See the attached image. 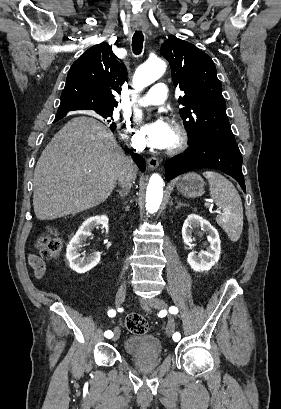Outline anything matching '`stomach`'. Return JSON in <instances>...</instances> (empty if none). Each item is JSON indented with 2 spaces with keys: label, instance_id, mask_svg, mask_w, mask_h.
Segmentation results:
<instances>
[{
  "label": "stomach",
  "instance_id": "0dacf381",
  "mask_svg": "<svg viewBox=\"0 0 281 409\" xmlns=\"http://www.w3.org/2000/svg\"><path fill=\"white\" fill-rule=\"evenodd\" d=\"M176 186L178 192L184 196H201L204 192V180L197 172H187L179 176Z\"/></svg>",
  "mask_w": 281,
  "mask_h": 409
}]
</instances>
